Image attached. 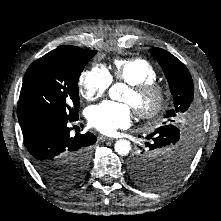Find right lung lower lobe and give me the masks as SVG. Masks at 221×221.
<instances>
[{"label": "right lung lower lobe", "mask_w": 221, "mask_h": 221, "mask_svg": "<svg viewBox=\"0 0 221 221\" xmlns=\"http://www.w3.org/2000/svg\"><path fill=\"white\" fill-rule=\"evenodd\" d=\"M78 119V115L66 118L39 113L20 121L27 149L40 174L47 167L61 164L66 155L87 149L96 142V137L91 132L70 137L72 128L69 123Z\"/></svg>", "instance_id": "98d812e1"}]
</instances>
